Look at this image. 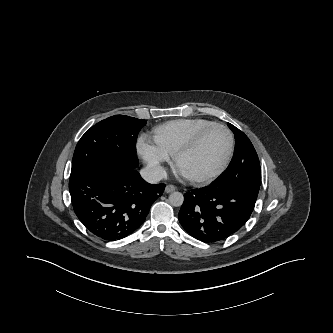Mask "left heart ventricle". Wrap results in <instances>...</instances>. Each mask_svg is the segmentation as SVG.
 I'll use <instances>...</instances> for the list:
<instances>
[{
    "mask_svg": "<svg viewBox=\"0 0 333 333\" xmlns=\"http://www.w3.org/2000/svg\"><path fill=\"white\" fill-rule=\"evenodd\" d=\"M229 147L226 133L213 129L190 153L178 163L179 170L189 176H205L217 170L223 163Z\"/></svg>",
    "mask_w": 333,
    "mask_h": 333,
    "instance_id": "obj_1",
    "label": "left heart ventricle"
}]
</instances>
